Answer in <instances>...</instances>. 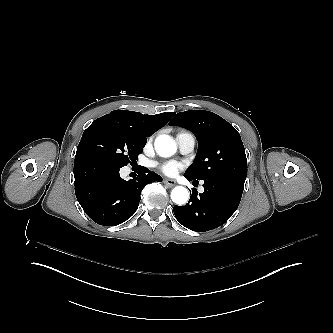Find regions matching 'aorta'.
<instances>
[{"label":"aorta","instance_id":"1","mask_svg":"<svg viewBox=\"0 0 333 333\" xmlns=\"http://www.w3.org/2000/svg\"><path fill=\"white\" fill-rule=\"evenodd\" d=\"M154 148L160 157H171L177 150L173 138L167 134H160L154 140ZM189 198L188 189L183 186H175L171 191V199L174 203L183 205Z\"/></svg>","mask_w":333,"mask_h":333}]
</instances>
